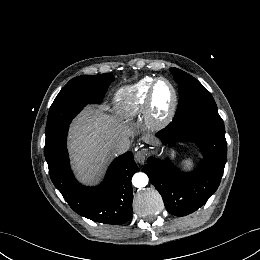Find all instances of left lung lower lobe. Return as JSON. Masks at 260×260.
<instances>
[{"instance_id":"left-lung-lower-lobe-1","label":"left lung lower lobe","mask_w":260,"mask_h":260,"mask_svg":"<svg viewBox=\"0 0 260 260\" xmlns=\"http://www.w3.org/2000/svg\"><path fill=\"white\" fill-rule=\"evenodd\" d=\"M157 136L170 143L194 140L204 160L191 173H183L170 161L154 157L147 160L144 171L161 194L170 214L188 215L201 207L217 190L227 159L223 120L217 109H200L173 121Z\"/></svg>"}]
</instances>
